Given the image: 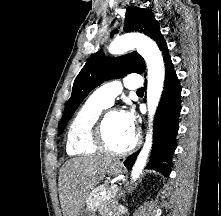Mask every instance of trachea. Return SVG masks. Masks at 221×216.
Returning <instances> with one entry per match:
<instances>
[{
  "label": "trachea",
  "mask_w": 221,
  "mask_h": 216,
  "mask_svg": "<svg viewBox=\"0 0 221 216\" xmlns=\"http://www.w3.org/2000/svg\"><path fill=\"white\" fill-rule=\"evenodd\" d=\"M143 92H144L143 88L137 90V93H143Z\"/></svg>",
  "instance_id": "1"
}]
</instances>
